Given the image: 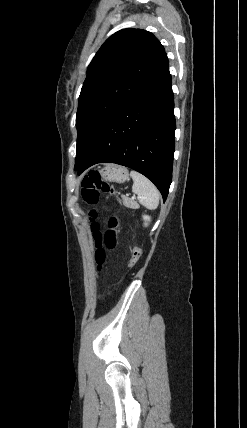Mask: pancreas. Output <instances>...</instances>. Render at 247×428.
Instances as JSON below:
<instances>
[{
	"label": "pancreas",
	"instance_id": "obj_1",
	"mask_svg": "<svg viewBox=\"0 0 247 428\" xmlns=\"http://www.w3.org/2000/svg\"><path fill=\"white\" fill-rule=\"evenodd\" d=\"M121 197H122V201H123L124 206L131 208V209H138L139 208V205L136 201H134V200H132V199H130L124 195H122Z\"/></svg>",
	"mask_w": 247,
	"mask_h": 428
}]
</instances>
